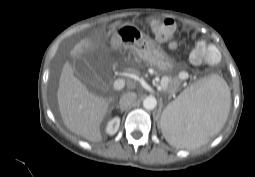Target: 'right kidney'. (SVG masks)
I'll list each match as a JSON object with an SVG mask.
<instances>
[{
    "label": "right kidney",
    "instance_id": "ca27d5eb",
    "mask_svg": "<svg viewBox=\"0 0 255 177\" xmlns=\"http://www.w3.org/2000/svg\"><path fill=\"white\" fill-rule=\"evenodd\" d=\"M119 126H120V118L115 117L107 123L105 131L109 135H114L118 131Z\"/></svg>",
    "mask_w": 255,
    "mask_h": 177
}]
</instances>
